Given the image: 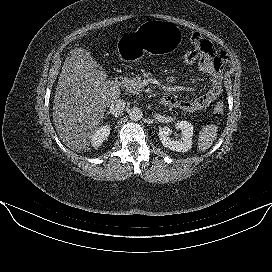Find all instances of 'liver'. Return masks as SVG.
I'll use <instances>...</instances> for the list:
<instances>
[{"label":"liver","instance_id":"6515ba94","mask_svg":"<svg viewBox=\"0 0 272 272\" xmlns=\"http://www.w3.org/2000/svg\"><path fill=\"white\" fill-rule=\"evenodd\" d=\"M121 91L84 48L66 57L53 101V121L63 143L73 151L88 150L106 108Z\"/></svg>","mask_w":272,"mask_h":272}]
</instances>
